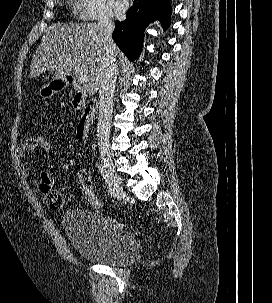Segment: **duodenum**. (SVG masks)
I'll use <instances>...</instances> for the list:
<instances>
[{"instance_id":"duodenum-1","label":"duodenum","mask_w":272,"mask_h":303,"mask_svg":"<svg viewBox=\"0 0 272 303\" xmlns=\"http://www.w3.org/2000/svg\"><path fill=\"white\" fill-rule=\"evenodd\" d=\"M65 81L75 90L72 105L75 110L80 112V121L76 128L75 137L78 142H85L88 138L89 127L95 117L97 104L94 100L86 101L85 88L74 75H68Z\"/></svg>"}]
</instances>
